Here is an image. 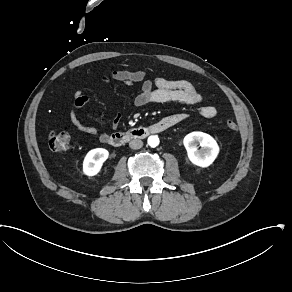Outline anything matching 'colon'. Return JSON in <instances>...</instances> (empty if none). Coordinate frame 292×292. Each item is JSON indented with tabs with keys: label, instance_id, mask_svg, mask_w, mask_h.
<instances>
[{
	"label": "colon",
	"instance_id": "obj_1",
	"mask_svg": "<svg viewBox=\"0 0 292 292\" xmlns=\"http://www.w3.org/2000/svg\"><path fill=\"white\" fill-rule=\"evenodd\" d=\"M225 125L232 132L237 130V125L232 120H226ZM48 144L53 153H66L70 149L71 135L66 131H53L48 136Z\"/></svg>",
	"mask_w": 292,
	"mask_h": 292
}]
</instances>
